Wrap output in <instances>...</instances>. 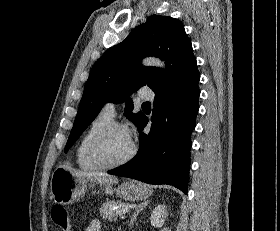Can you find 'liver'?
<instances>
[{
  "instance_id": "obj_1",
  "label": "liver",
  "mask_w": 280,
  "mask_h": 231,
  "mask_svg": "<svg viewBox=\"0 0 280 231\" xmlns=\"http://www.w3.org/2000/svg\"><path fill=\"white\" fill-rule=\"evenodd\" d=\"M66 167V165H62ZM71 171L72 175H77V177H86L90 181H96V183H101V185H107V183H117L118 179L115 175H104L101 171H80V169H73V167H66Z\"/></svg>"
}]
</instances>
